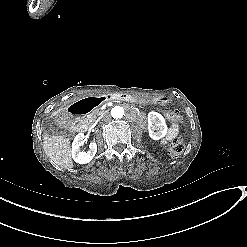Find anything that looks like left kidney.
Here are the masks:
<instances>
[{"label":"left kidney","mask_w":247,"mask_h":247,"mask_svg":"<svg viewBox=\"0 0 247 247\" xmlns=\"http://www.w3.org/2000/svg\"><path fill=\"white\" fill-rule=\"evenodd\" d=\"M148 117H149V119L153 118V120L155 121V123L158 126L156 131H150L149 132L150 139L158 141V140L164 138L168 132V128L165 124V120H164L163 116L157 112L152 111L148 114Z\"/></svg>","instance_id":"5707ae66"}]
</instances>
